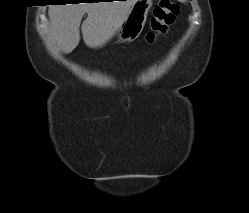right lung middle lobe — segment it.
<instances>
[{
  "label": "right lung middle lobe",
  "mask_w": 249,
  "mask_h": 213,
  "mask_svg": "<svg viewBox=\"0 0 249 213\" xmlns=\"http://www.w3.org/2000/svg\"><path fill=\"white\" fill-rule=\"evenodd\" d=\"M56 1H59V2H62V3H66V2H74L76 0H56Z\"/></svg>",
  "instance_id": "obj_1"
}]
</instances>
